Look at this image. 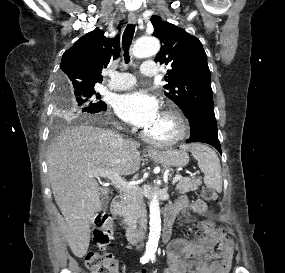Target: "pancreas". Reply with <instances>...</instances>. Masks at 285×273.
Here are the masks:
<instances>
[{
	"label": "pancreas",
	"mask_w": 285,
	"mask_h": 273,
	"mask_svg": "<svg viewBox=\"0 0 285 273\" xmlns=\"http://www.w3.org/2000/svg\"><path fill=\"white\" fill-rule=\"evenodd\" d=\"M201 184L202 181L200 178L198 179L184 178L179 180L176 186V190H178L180 193L195 191L198 189V186H200ZM126 195L128 198L129 213L131 216L135 217L137 215V203L142 199L143 193L140 188H136L126 191Z\"/></svg>",
	"instance_id": "cf45deb5"
}]
</instances>
